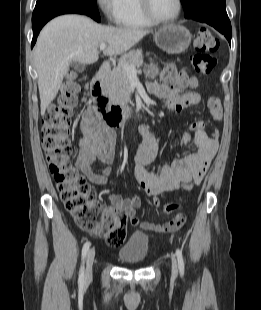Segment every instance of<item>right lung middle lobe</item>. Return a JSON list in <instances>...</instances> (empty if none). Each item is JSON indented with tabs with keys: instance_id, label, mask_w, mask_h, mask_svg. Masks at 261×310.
I'll use <instances>...</instances> for the list:
<instances>
[{
	"instance_id": "right-lung-middle-lobe-1",
	"label": "right lung middle lobe",
	"mask_w": 261,
	"mask_h": 310,
	"mask_svg": "<svg viewBox=\"0 0 261 310\" xmlns=\"http://www.w3.org/2000/svg\"><path fill=\"white\" fill-rule=\"evenodd\" d=\"M54 10H68L90 16L100 22L96 0H37L32 20Z\"/></svg>"
}]
</instances>
